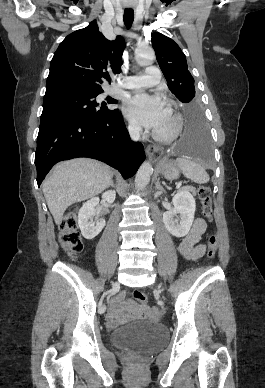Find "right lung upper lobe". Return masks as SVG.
<instances>
[{
	"label": "right lung upper lobe",
	"instance_id": "1",
	"mask_svg": "<svg viewBox=\"0 0 265 388\" xmlns=\"http://www.w3.org/2000/svg\"><path fill=\"white\" fill-rule=\"evenodd\" d=\"M125 41H109L99 32L96 21L68 35L59 45L50 64L45 96L60 93L103 92L109 72H121Z\"/></svg>",
	"mask_w": 265,
	"mask_h": 388
}]
</instances>
